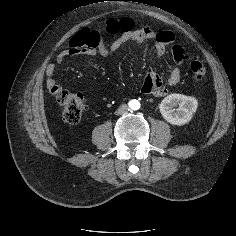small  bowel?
<instances>
[{
  "mask_svg": "<svg viewBox=\"0 0 236 236\" xmlns=\"http://www.w3.org/2000/svg\"><path fill=\"white\" fill-rule=\"evenodd\" d=\"M105 30L115 36L110 44L105 43L100 31L84 28L70 39L68 47L57 55L56 62L61 64L66 58L79 55L95 56L99 54L108 57L128 42L143 44L152 41L155 52L159 56H163L167 48L171 47L175 66L166 80L167 85L174 86L180 82L182 77L180 66L185 60L186 50L182 44L175 42L172 32H155L149 27L135 28L133 21L129 18L122 20L110 19L105 24ZM56 70V65L53 63L48 64L45 70L46 87L52 95H57L59 90L62 89L54 78ZM141 92L147 95L164 96L168 90L162 78L155 72L150 71L141 84Z\"/></svg>",
  "mask_w": 236,
  "mask_h": 236,
  "instance_id": "small-bowel-1",
  "label": "small bowel"
}]
</instances>
